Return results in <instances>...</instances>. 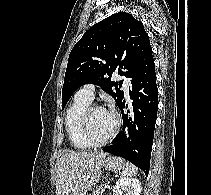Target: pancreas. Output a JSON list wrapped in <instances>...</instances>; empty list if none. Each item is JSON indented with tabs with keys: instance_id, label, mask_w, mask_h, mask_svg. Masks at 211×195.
Masks as SVG:
<instances>
[{
	"instance_id": "cf45deb5",
	"label": "pancreas",
	"mask_w": 211,
	"mask_h": 195,
	"mask_svg": "<svg viewBox=\"0 0 211 195\" xmlns=\"http://www.w3.org/2000/svg\"><path fill=\"white\" fill-rule=\"evenodd\" d=\"M104 192V185L99 186L98 188H96V190H94L91 194L89 195H102Z\"/></svg>"
}]
</instances>
